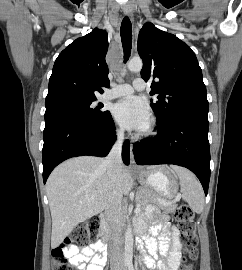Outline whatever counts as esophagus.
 <instances>
[{"instance_id":"1","label":"esophagus","mask_w":242,"mask_h":270,"mask_svg":"<svg viewBox=\"0 0 242 270\" xmlns=\"http://www.w3.org/2000/svg\"><path fill=\"white\" fill-rule=\"evenodd\" d=\"M123 12L127 17H129V19L131 21H133V13H132V10L128 6H125L123 8ZM131 146H132V144H131ZM130 163H131L132 168H134V169L137 168V164L135 162V159H134V156H133L132 152L130 154Z\"/></svg>"}]
</instances>
